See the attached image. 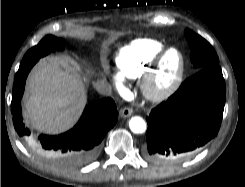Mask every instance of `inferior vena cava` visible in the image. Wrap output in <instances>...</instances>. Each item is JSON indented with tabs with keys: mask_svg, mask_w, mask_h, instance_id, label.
I'll use <instances>...</instances> for the list:
<instances>
[{
	"mask_svg": "<svg viewBox=\"0 0 245 187\" xmlns=\"http://www.w3.org/2000/svg\"><path fill=\"white\" fill-rule=\"evenodd\" d=\"M94 87L102 95L109 96L112 93L111 85L105 80H98L94 83Z\"/></svg>",
	"mask_w": 245,
	"mask_h": 187,
	"instance_id": "1",
	"label": "inferior vena cava"
}]
</instances>
